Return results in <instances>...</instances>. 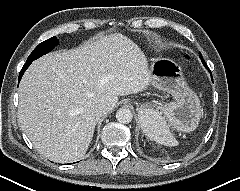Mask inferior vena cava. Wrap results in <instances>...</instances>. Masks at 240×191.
Listing matches in <instances>:
<instances>
[{
  "mask_svg": "<svg viewBox=\"0 0 240 191\" xmlns=\"http://www.w3.org/2000/svg\"><path fill=\"white\" fill-rule=\"evenodd\" d=\"M95 108L97 112L104 113L107 111L108 106L105 103H98Z\"/></svg>",
  "mask_w": 240,
  "mask_h": 191,
  "instance_id": "obj_1",
  "label": "inferior vena cava"
}]
</instances>
